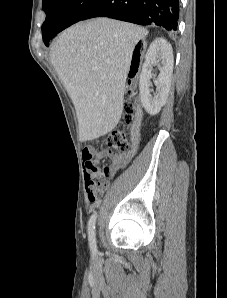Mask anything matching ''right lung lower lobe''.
I'll list each match as a JSON object with an SVG mask.
<instances>
[{
	"instance_id": "right-lung-lower-lobe-1",
	"label": "right lung lower lobe",
	"mask_w": 227,
	"mask_h": 298,
	"mask_svg": "<svg viewBox=\"0 0 227 298\" xmlns=\"http://www.w3.org/2000/svg\"><path fill=\"white\" fill-rule=\"evenodd\" d=\"M109 17L140 25L155 23L177 30L179 0H100L81 20Z\"/></svg>"
}]
</instances>
